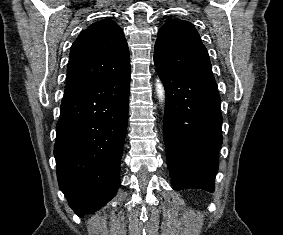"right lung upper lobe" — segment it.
I'll return each instance as SVG.
<instances>
[{
    "mask_svg": "<svg viewBox=\"0 0 283 235\" xmlns=\"http://www.w3.org/2000/svg\"><path fill=\"white\" fill-rule=\"evenodd\" d=\"M130 72L129 49L121 28L103 19L83 30L72 44L64 94Z\"/></svg>",
    "mask_w": 283,
    "mask_h": 235,
    "instance_id": "obj_1",
    "label": "right lung upper lobe"
}]
</instances>
